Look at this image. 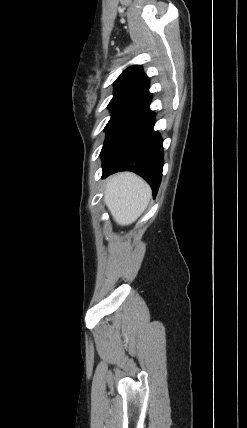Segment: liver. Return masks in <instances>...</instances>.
I'll return each instance as SVG.
<instances>
[{
    "instance_id": "1",
    "label": "liver",
    "mask_w": 247,
    "mask_h": 428,
    "mask_svg": "<svg viewBox=\"0 0 247 428\" xmlns=\"http://www.w3.org/2000/svg\"><path fill=\"white\" fill-rule=\"evenodd\" d=\"M150 198V186L134 173H117L107 179L104 201L119 225L134 223L145 211Z\"/></svg>"
}]
</instances>
